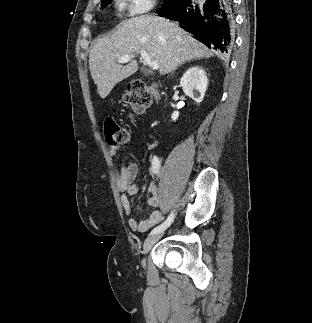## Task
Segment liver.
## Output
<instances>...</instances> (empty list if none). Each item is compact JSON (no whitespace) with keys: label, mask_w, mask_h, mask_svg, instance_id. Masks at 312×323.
Here are the masks:
<instances>
[{"label":"liver","mask_w":312,"mask_h":323,"mask_svg":"<svg viewBox=\"0 0 312 323\" xmlns=\"http://www.w3.org/2000/svg\"><path fill=\"white\" fill-rule=\"evenodd\" d=\"M147 52L157 62L160 74H169L183 62L213 56L204 44L192 38L178 22L159 16H137L123 20L111 36L99 38L89 54V70L100 98L138 70L135 54ZM120 56H131L130 64H117Z\"/></svg>","instance_id":"1"}]
</instances>
